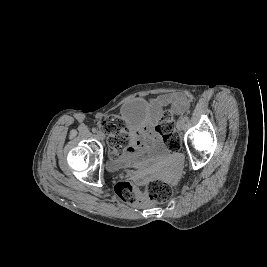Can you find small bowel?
I'll use <instances>...</instances> for the list:
<instances>
[{
	"label": "small bowel",
	"mask_w": 267,
	"mask_h": 267,
	"mask_svg": "<svg viewBox=\"0 0 267 267\" xmlns=\"http://www.w3.org/2000/svg\"><path fill=\"white\" fill-rule=\"evenodd\" d=\"M168 105L172 106L175 111L182 112L189 106V97L183 94H177L162 95L152 99L150 102L149 117L143 122L133 124L130 128V137L136 144L143 145L150 143L159 145V137L154 130V126L162 107ZM166 160L167 157L161 155L152 160L138 161L135 163V170L127 172V177L132 180H141L150 170L158 168Z\"/></svg>",
	"instance_id": "obj_1"
}]
</instances>
